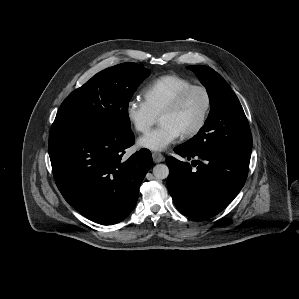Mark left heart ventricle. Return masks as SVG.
<instances>
[{
  "label": "left heart ventricle",
  "instance_id": "obj_1",
  "mask_svg": "<svg viewBox=\"0 0 299 299\" xmlns=\"http://www.w3.org/2000/svg\"><path fill=\"white\" fill-rule=\"evenodd\" d=\"M204 107L205 98L203 94L200 91H194L177 111L160 116L159 123L171 124L182 134L198 123Z\"/></svg>",
  "mask_w": 299,
  "mask_h": 299
}]
</instances>
